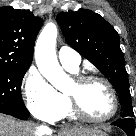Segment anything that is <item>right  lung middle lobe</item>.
<instances>
[{"label": "right lung middle lobe", "instance_id": "obj_1", "mask_svg": "<svg viewBox=\"0 0 136 136\" xmlns=\"http://www.w3.org/2000/svg\"><path fill=\"white\" fill-rule=\"evenodd\" d=\"M28 68L0 66V113L29 114L20 93L21 83Z\"/></svg>", "mask_w": 136, "mask_h": 136}]
</instances>
